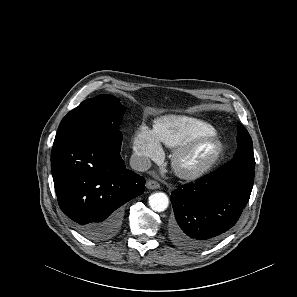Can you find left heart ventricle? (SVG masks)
Returning a JSON list of instances; mask_svg holds the SVG:
<instances>
[{
  "instance_id": "b2bd125f",
  "label": "left heart ventricle",
  "mask_w": 297,
  "mask_h": 297,
  "mask_svg": "<svg viewBox=\"0 0 297 297\" xmlns=\"http://www.w3.org/2000/svg\"><path fill=\"white\" fill-rule=\"evenodd\" d=\"M212 149V143L203 142L186 158L185 164L194 166L204 162L212 152Z\"/></svg>"
}]
</instances>
